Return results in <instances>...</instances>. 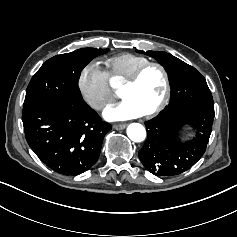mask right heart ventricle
Segmentation results:
<instances>
[{
    "label": "right heart ventricle",
    "instance_id": "e07e8e85",
    "mask_svg": "<svg viewBox=\"0 0 237 237\" xmlns=\"http://www.w3.org/2000/svg\"><path fill=\"white\" fill-rule=\"evenodd\" d=\"M148 62L149 60L143 56L121 53L106 61V73L111 81L124 83L137 69Z\"/></svg>",
    "mask_w": 237,
    "mask_h": 237
}]
</instances>
